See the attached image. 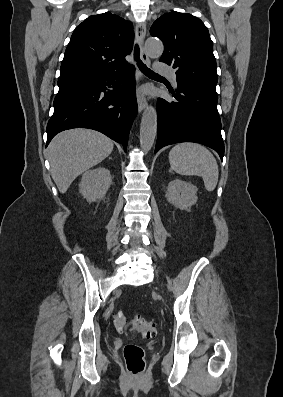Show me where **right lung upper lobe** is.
Instances as JSON below:
<instances>
[{
    "instance_id": "1",
    "label": "right lung upper lobe",
    "mask_w": 283,
    "mask_h": 397,
    "mask_svg": "<svg viewBox=\"0 0 283 397\" xmlns=\"http://www.w3.org/2000/svg\"><path fill=\"white\" fill-rule=\"evenodd\" d=\"M134 31L130 21L110 12L93 15L73 32L60 68L58 85L87 80L128 66Z\"/></svg>"
}]
</instances>
